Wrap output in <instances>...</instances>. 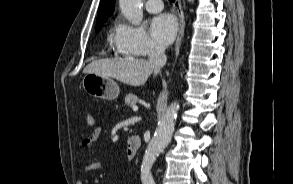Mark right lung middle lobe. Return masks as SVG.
<instances>
[{
    "label": "right lung middle lobe",
    "instance_id": "1",
    "mask_svg": "<svg viewBox=\"0 0 293 184\" xmlns=\"http://www.w3.org/2000/svg\"><path fill=\"white\" fill-rule=\"evenodd\" d=\"M102 25L96 26V32H98L101 29Z\"/></svg>",
    "mask_w": 293,
    "mask_h": 184
}]
</instances>
